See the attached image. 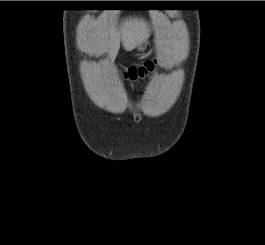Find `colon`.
<instances>
[{
	"label": "colon",
	"mask_w": 265,
	"mask_h": 245,
	"mask_svg": "<svg viewBox=\"0 0 265 245\" xmlns=\"http://www.w3.org/2000/svg\"><path fill=\"white\" fill-rule=\"evenodd\" d=\"M153 70V64L146 62L141 65H132L128 67L124 76L130 81H137L144 79Z\"/></svg>",
	"instance_id": "obj_1"
}]
</instances>
